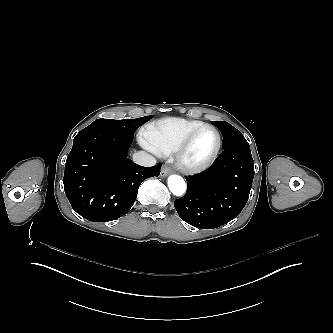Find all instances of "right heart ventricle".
<instances>
[{
    "mask_svg": "<svg viewBox=\"0 0 333 333\" xmlns=\"http://www.w3.org/2000/svg\"><path fill=\"white\" fill-rule=\"evenodd\" d=\"M203 124V121L196 119L168 118L145 125L138 140L144 148L161 156H169L189 131Z\"/></svg>",
    "mask_w": 333,
    "mask_h": 333,
    "instance_id": "1",
    "label": "right heart ventricle"
}]
</instances>
